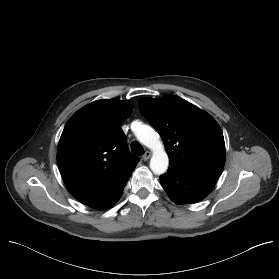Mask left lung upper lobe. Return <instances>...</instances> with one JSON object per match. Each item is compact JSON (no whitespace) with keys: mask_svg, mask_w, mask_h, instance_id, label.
<instances>
[{"mask_svg":"<svg viewBox=\"0 0 279 279\" xmlns=\"http://www.w3.org/2000/svg\"><path fill=\"white\" fill-rule=\"evenodd\" d=\"M139 109L160 134L169 166L219 176L225 162L220 126L207 112L173 95L141 98Z\"/></svg>","mask_w":279,"mask_h":279,"instance_id":"1","label":"left lung upper lobe"}]
</instances>
